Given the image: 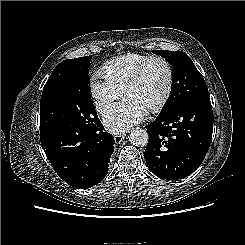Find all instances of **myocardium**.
I'll list each match as a JSON object with an SVG mask.
<instances>
[{
	"label": "myocardium",
	"instance_id": "myocardium-1",
	"mask_svg": "<svg viewBox=\"0 0 245 245\" xmlns=\"http://www.w3.org/2000/svg\"><path fill=\"white\" fill-rule=\"evenodd\" d=\"M154 61L161 62L165 66L167 71V86L164 95L162 96L160 101L156 105L148 109V111L151 113H157L161 111L168 103L172 93L174 75L172 66L168 60L161 56H150L146 61H144L140 65V67L135 71V73L132 75V77L128 80V82L125 84L123 88V94L126 95L127 91L140 81L148 65Z\"/></svg>",
	"mask_w": 245,
	"mask_h": 245
}]
</instances>
